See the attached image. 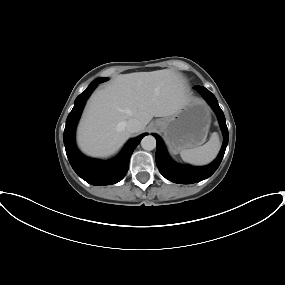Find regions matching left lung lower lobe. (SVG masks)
I'll list each match as a JSON object with an SVG mask.
<instances>
[{"mask_svg": "<svg viewBox=\"0 0 285 285\" xmlns=\"http://www.w3.org/2000/svg\"><path fill=\"white\" fill-rule=\"evenodd\" d=\"M194 88L201 93L217 114L224 135V142L219 156L210 165L204 167H193L189 165L182 166L176 164L170 159L162 139L157 134H153L157 141L156 164L160 173L168 180L179 184H192L210 177L219 167L228 144L226 120L223 111L218 105L217 99L209 90L202 86H195Z\"/></svg>", "mask_w": 285, "mask_h": 285, "instance_id": "0a47b994", "label": "left lung lower lobe"}]
</instances>
